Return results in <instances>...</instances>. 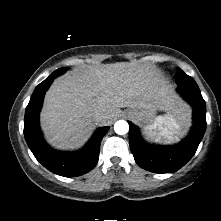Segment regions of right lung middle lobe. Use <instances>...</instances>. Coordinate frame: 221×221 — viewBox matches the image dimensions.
<instances>
[{
  "instance_id": "dd1d6c3e",
  "label": "right lung middle lobe",
  "mask_w": 221,
  "mask_h": 221,
  "mask_svg": "<svg viewBox=\"0 0 221 221\" xmlns=\"http://www.w3.org/2000/svg\"><path fill=\"white\" fill-rule=\"evenodd\" d=\"M68 68L66 67H63V68H60L56 71H54L48 78H55L57 77L58 75H61L62 73H64L65 71H67Z\"/></svg>"
}]
</instances>
